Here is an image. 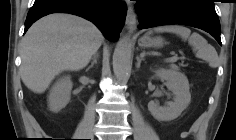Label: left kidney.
<instances>
[{
	"label": "left kidney",
	"mask_w": 236,
	"mask_h": 140,
	"mask_svg": "<svg viewBox=\"0 0 236 140\" xmlns=\"http://www.w3.org/2000/svg\"><path fill=\"white\" fill-rule=\"evenodd\" d=\"M156 76L166 81V86L174 94V102L161 107L154 101L148 103V110L153 117L161 121H171L181 115L191 101L187 77L178 71L158 69Z\"/></svg>",
	"instance_id": "5707ae66"
}]
</instances>
